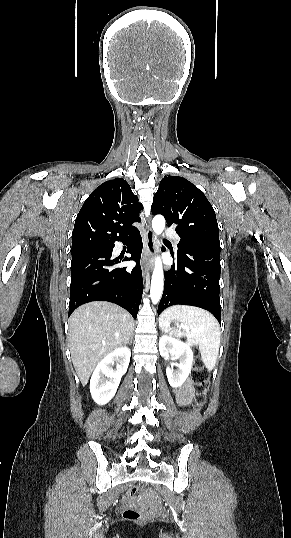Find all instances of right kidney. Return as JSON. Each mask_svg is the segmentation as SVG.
Segmentation results:
<instances>
[{"label":"right kidney","instance_id":"1","mask_svg":"<svg viewBox=\"0 0 291 538\" xmlns=\"http://www.w3.org/2000/svg\"><path fill=\"white\" fill-rule=\"evenodd\" d=\"M131 351L126 346H121L107 354L96 366L91 380L90 392L93 400L99 405H105L115 395L121 377L126 373ZM116 362V370L112 365Z\"/></svg>","mask_w":291,"mask_h":538}]
</instances>
